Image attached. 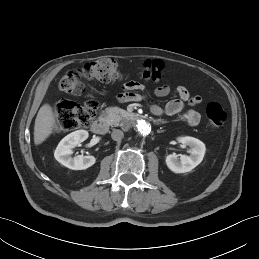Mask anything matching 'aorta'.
Instances as JSON below:
<instances>
[{
  "mask_svg": "<svg viewBox=\"0 0 259 259\" xmlns=\"http://www.w3.org/2000/svg\"><path fill=\"white\" fill-rule=\"evenodd\" d=\"M135 130L139 135L147 136L151 132V126L145 120H138L135 124Z\"/></svg>",
  "mask_w": 259,
  "mask_h": 259,
  "instance_id": "obj_1",
  "label": "aorta"
}]
</instances>
